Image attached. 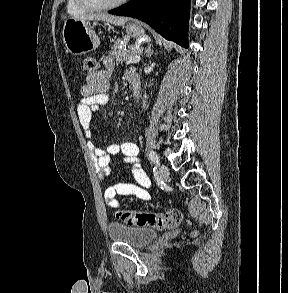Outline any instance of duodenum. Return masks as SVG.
Wrapping results in <instances>:
<instances>
[{"mask_svg": "<svg viewBox=\"0 0 288 293\" xmlns=\"http://www.w3.org/2000/svg\"><path fill=\"white\" fill-rule=\"evenodd\" d=\"M129 81L132 86L133 97L134 99H137L140 96V92H141L140 78L137 75H134L129 79Z\"/></svg>", "mask_w": 288, "mask_h": 293, "instance_id": "1", "label": "duodenum"}]
</instances>
